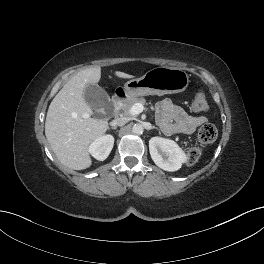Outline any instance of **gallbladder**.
<instances>
[{"label": "gallbladder", "mask_w": 264, "mask_h": 264, "mask_svg": "<svg viewBox=\"0 0 264 264\" xmlns=\"http://www.w3.org/2000/svg\"><path fill=\"white\" fill-rule=\"evenodd\" d=\"M84 98L91 109L96 112L95 116L102 118L103 115L99 111L110 104V97L105 90L98 85L89 84L85 88Z\"/></svg>", "instance_id": "gallbladder-1"}]
</instances>
